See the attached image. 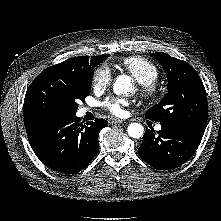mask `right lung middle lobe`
<instances>
[{
  "instance_id": "right-lung-middle-lobe-1",
  "label": "right lung middle lobe",
  "mask_w": 221,
  "mask_h": 221,
  "mask_svg": "<svg viewBox=\"0 0 221 221\" xmlns=\"http://www.w3.org/2000/svg\"><path fill=\"white\" fill-rule=\"evenodd\" d=\"M109 54L97 56L85 72H72L57 65L42 71L29 86L24 115L63 116L76 114L77 102L84 101L92 85L94 67Z\"/></svg>"
}]
</instances>
